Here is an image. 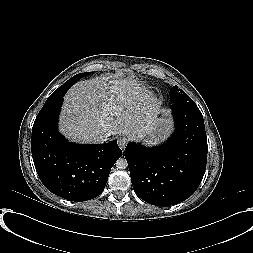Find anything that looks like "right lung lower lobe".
<instances>
[{
	"instance_id": "98d812e1",
	"label": "right lung lower lobe",
	"mask_w": 253,
	"mask_h": 253,
	"mask_svg": "<svg viewBox=\"0 0 253 253\" xmlns=\"http://www.w3.org/2000/svg\"><path fill=\"white\" fill-rule=\"evenodd\" d=\"M63 89L54 101L45 102L38 113L31 138L34 165L44 186L71 201L100 195L110 170L122 155L117 140L107 144L78 145L68 142L57 129Z\"/></svg>"
}]
</instances>
